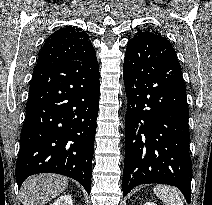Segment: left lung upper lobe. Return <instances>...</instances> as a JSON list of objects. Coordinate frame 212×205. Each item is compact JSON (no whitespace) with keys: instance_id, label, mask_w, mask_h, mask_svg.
Instances as JSON below:
<instances>
[{"instance_id":"5c2ea615","label":"left lung upper lobe","mask_w":212,"mask_h":205,"mask_svg":"<svg viewBox=\"0 0 212 205\" xmlns=\"http://www.w3.org/2000/svg\"><path fill=\"white\" fill-rule=\"evenodd\" d=\"M153 34L162 36L161 33H159L157 30L147 28L144 30H138L137 33L133 36V38L131 40H140V39H143V38H145L149 35H153Z\"/></svg>"}]
</instances>
